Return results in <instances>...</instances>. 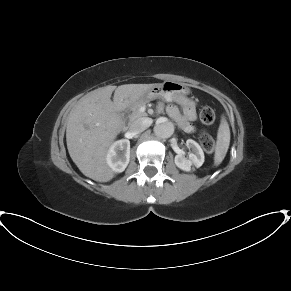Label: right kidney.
<instances>
[{"label": "right kidney", "instance_id": "right-kidney-1", "mask_svg": "<svg viewBox=\"0 0 291 291\" xmlns=\"http://www.w3.org/2000/svg\"><path fill=\"white\" fill-rule=\"evenodd\" d=\"M106 161L114 172H123L130 161V141L122 139L114 142L107 152Z\"/></svg>", "mask_w": 291, "mask_h": 291}]
</instances>
